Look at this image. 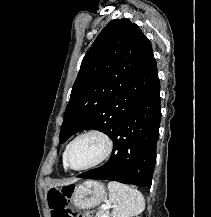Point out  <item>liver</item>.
Instances as JSON below:
<instances>
[{
    "instance_id": "obj_1",
    "label": "liver",
    "mask_w": 211,
    "mask_h": 217,
    "mask_svg": "<svg viewBox=\"0 0 211 217\" xmlns=\"http://www.w3.org/2000/svg\"><path fill=\"white\" fill-rule=\"evenodd\" d=\"M76 180H77V179H74V180H72L71 182H67V183H65V184H70V183L76 182Z\"/></svg>"
}]
</instances>
